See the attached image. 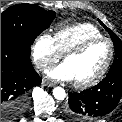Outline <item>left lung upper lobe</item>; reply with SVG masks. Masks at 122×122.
<instances>
[{
  "label": "left lung upper lobe",
  "mask_w": 122,
  "mask_h": 122,
  "mask_svg": "<svg viewBox=\"0 0 122 122\" xmlns=\"http://www.w3.org/2000/svg\"><path fill=\"white\" fill-rule=\"evenodd\" d=\"M100 24L108 31V33L111 36V39L114 43L115 47V58L114 62L110 68V71H113L117 68H122V41L119 39V37L111 31L106 25H104L100 20H98Z\"/></svg>",
  "instance_id": "obj_1"
}]
</instances>
